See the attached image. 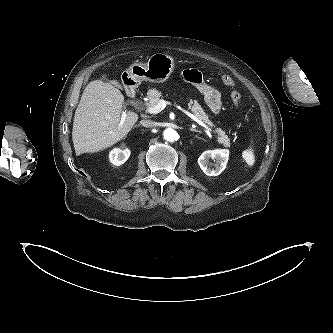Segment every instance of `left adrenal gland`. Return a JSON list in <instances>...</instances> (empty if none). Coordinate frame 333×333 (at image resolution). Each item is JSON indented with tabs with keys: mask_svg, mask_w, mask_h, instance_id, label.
Listing matches in <instances>:
<instances>
[{
	"mask_svg": "<svg viewBox=\"0 0 333 333\" xmlns=\"http://www.w3.org/2000/svg\"><path fill=\"white\" fill-rule=\"evenodd\" d=\"M189 130H190V131H192V132L201 133V131H199V130H196V129H194V128H190Z\"/></svg>",
	"mask_w": 333,
	"mask_h": 333,
	"instance_id": "obj_1",
	"label": "left adrenal gland"
}]
</instances>
